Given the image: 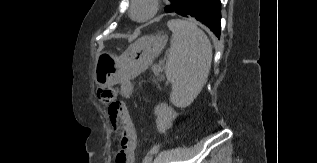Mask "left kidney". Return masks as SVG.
Returning a JSON list of instances; mask_svg holds the SVG:
<instances>
[{"mask_svg":"<svg viewBox=\"0 0 317 163\" xmlns=\"http://www.w3.org/2000/svg\"><path fill=\"white\" fill-rule=\"evenodd\" d=\"M156 118V126L160 133H165L173 125V121L177 117L175 110L165 103L157 105L154 109Z\"/></svg>","mask_w":317,"mask_h":163,"instance_id":"1","label":"left kidney"}]
</instances>
